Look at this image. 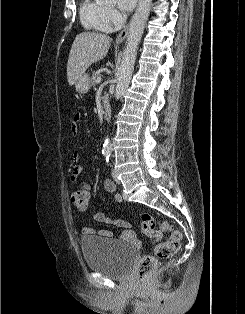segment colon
<instances>
[{"instance_id":"obj_1","label":"colon","mask_w":245,"mask_h":314,"mask_svg":"<svg viewBox=\"0 0 245 314\" xmlns=\"http://www.w3.org/2000/svg\"><path fill=\"white\" fill-rule=\"evenodd\" d=\"M90 194L83 189L75 190L71 195L72 203L85 209L88 206ZM141 231L156 242L154 254L145 255L138 263V276L145 280L156 268L158 259L171 258L180 248L182 234L174 230L170 223L165 220H157L150 213H143ZM170 233L167 241L161 242L162 234Z\"/></svg>"}]
</instances>
